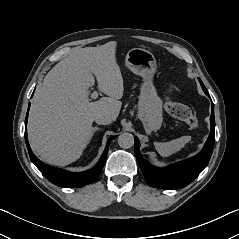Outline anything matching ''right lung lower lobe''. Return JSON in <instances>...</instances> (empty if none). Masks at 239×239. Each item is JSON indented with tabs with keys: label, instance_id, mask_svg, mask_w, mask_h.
I'll return each instance as SVG.
<instances>
[{
	"label": "right lung lower lobe",
	"instance_id": "right-lung-lower-lobe-1",
	"mask_svg": "<svg viewBox=\"0 0 239 239\" xmlns=\"http://www.w3.org/2000/svg\"><path fill=\"white\" fill-rule=\"evenodd\" d=\"M29 107H30V103H29ZM29 107H28V112H29ZM28 112L26 115L25 125H27ZM114 138L115 137H111L108 140L105 150L102 154V157L95 167L85 172L73 173L60 168L46 165L43 162H41L33 154L28 142L27 130H25V142L27 145V149H28L31 161L50 182L60 187H82L84 185H87L93 182L101 173V170L104 166V163L107 157L109 144L111 140H113Z\"/></svg>",
	"mask_w": 239,
	"mask_h": 239
}]
</instances>
